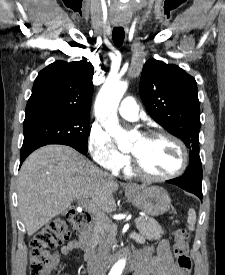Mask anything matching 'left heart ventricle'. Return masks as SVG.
Wrapping results in <instances>:
<instances>
[{
	"instance_id": "1",
	"label": "left heart ventricle",
	"mask_w": 225,
	"mask_h": 275,
	"mask_svg": "<svg viewBox=\"0 0 225 275\" xmlns=\"http://www.w3.org/2000/svg\"><path fill=\"white\" fill-rule=\"evenodd\" d=\"M134 154L143 169L153 175H165L175 171L181 163L178 147L165 138L140 137L133 145Z\"/></svg>"
}]
</instances>
